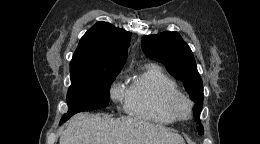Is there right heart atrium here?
Returning a JSON list of instances; mask_svg holds the SVG:
<instances>
[{
    "label": "right heart atrium",
    "mask_w": 260,
    "mask_h": 144,
    "mask_svg": "<svg viewBox=\"0 0 260 144\" xmlns=\"http://www.w3.org/2000/svg\"><path fill=\"white\" fill-rule=\"evenodd\" d=\"M110 92L115 101H121L125 97V91L118 83L113 84Z\"/></svg>",
    "instance_id": "1"
}]
</instances>
